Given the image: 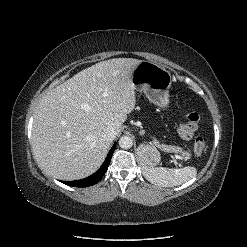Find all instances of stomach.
Wrapping results in <instances>:
<instances>
[{
	"label": "stomach",
	"mask_w": 247,
	"mask_h": 247,
	"mask_svg": "<svg viewBox=\"0 0 247 247\" xmlns=\"http://www.w3.org/2000/svg\"><path fill=\"white\" fill-rule=\"evenodd\" d=\"M134 89L143 92L148 100L160 108L169 106V88L172 76L164 67L150 61H141L132 73ZM137 155L143 165L154 167L159 164L161 156L155 146L140 145Z\"/></svg>",
	"instance_id": "stomach-1"
}]
</instances>
